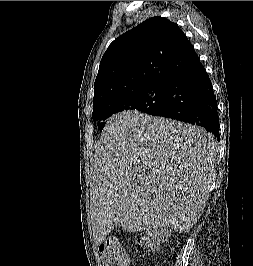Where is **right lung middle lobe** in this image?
<instances>
[{
	"label": "right lung middle lobe",
	"mask_w": 253,
	"mask_h": 266,
	"mask_svg": "<svg viewBox=\"0 0 253 266\" xmlns=\"http://www.w3.org/2000/svg\"><path fill=\"white\" fill-rule=\"evenodd\" d=\"M168 82H152L118 95L106 102L93 105V121L99 130L103 129L105 120L114 113L123 110H136L150 115L161 111Z\"/></svg>",
	"instance_id": "obj_1"
}]
</instances>
